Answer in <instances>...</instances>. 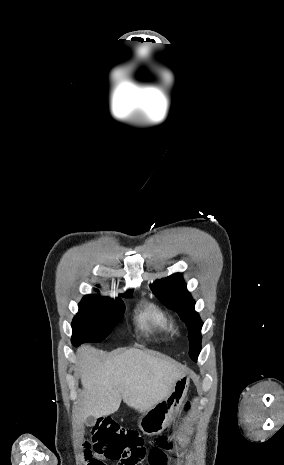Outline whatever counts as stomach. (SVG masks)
<instances>
[{
  "mask_svg": "<svg viewBox=\"0 0 284 465\" xmlns=\"http://www.w3.org/2000/svg\"><path fill=\"white\" fill-rule=\"evenodd\" d=\"M190 379L188 375H183L181 379H178L174 383V387L163 399L156 403L152 409H148L143 413L138 421V427L144 435H159L162 433L172 419H174L175 413L179 411L189 389Z\"/></svg>",
  "mask_w": 284,
  "mask_h": 465,
  "instance_id": "0dacf381",
  "label": "stomach"
}]
</instances>
